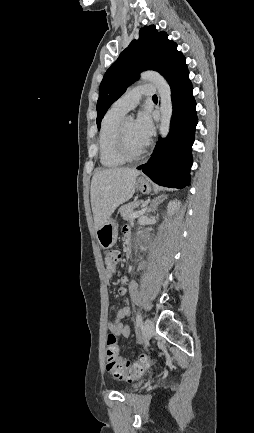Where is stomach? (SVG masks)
I'll list each match as a JSON object with an SVG mask.
<instances>
[{
    "mask_svg": "<svg viewBox=\"0 0 254 433\" xmlns=\"http://www.w3.org/2000/svg\"><path fill=\"white\" fill-rule=\"evenodd\" d=\"M136 187L141 192L148 194L151 192V184L145 178H139ZM118 225L112 218H108L104 224L96 231V237L100 246L104 249L111 248L117 241Z\"/></svg>",
    "mask_w": 254,
    "mask_h": 433,
    "instance_id": "0dacf381",
    "label": "stomach"
}]
</instances>
